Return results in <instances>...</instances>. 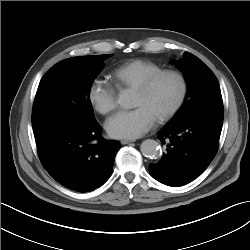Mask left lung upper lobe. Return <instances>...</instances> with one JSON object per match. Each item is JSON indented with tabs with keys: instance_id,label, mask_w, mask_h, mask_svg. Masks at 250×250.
I'll use <instances>...</instances> for the list:
<instances>
[{
	"instance_id": "obj_1",
	"label": "left lung upper lobe",
	"mask_w": 250,
	"mask_h": 250,
	"mask_svg": "<svg viewBox=\"0 0 250 250\" xmlns=\"http://www.w3.org/2000/svg\"><path fill=\"white\" fill-rule=\"evenodd\" d=\"M175 64L184 72L188 92L182 107L169 123L180 122L209 108L223 106L218 80L199 58L185 52Z\"/></svg>"
}]
</instances>
